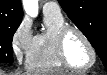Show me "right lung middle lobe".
<instances>
[{
    "label": "right lung middle lobe",
    "instance_id": "dd1d6c3e",
    "mask_svg": "<svg viewBox=\"0 0 107 75\" xmlns=\"http://www.w3.org/2000/svg\"><path fill=\"white\" fill-rule=\"evenodd\" d=\"M20 23L0 27V62L13 63L12 39Z\"/></svg>",
    "mask_w": 107,
    "mask_h": 75
}]
</instances>
